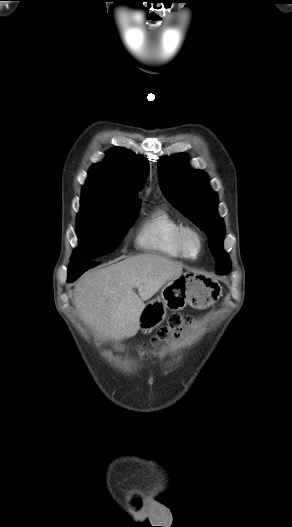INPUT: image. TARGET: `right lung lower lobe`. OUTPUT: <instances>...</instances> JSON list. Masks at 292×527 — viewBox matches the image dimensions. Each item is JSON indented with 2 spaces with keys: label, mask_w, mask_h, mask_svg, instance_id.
I'll use <instances>...</instances> for the list:
<instances>
[{
  "label": "right lung lower lobe",
  "mask_w": 292,
  "mask_h": 527,
  "mask_svg": "<svg viewBox=\"0 0 292 527\" xmlns=\"http://www.w3.org/2000/svg\"><path fill=\"white\" fill-rule=\"evenodd\" d=\"M97 263H88V262H75L70 264L68 269V282H74L79 278L85 271L96 266Z\"/></svg>",
  "instance_id": "1"
}]
</instances>
